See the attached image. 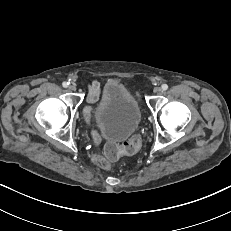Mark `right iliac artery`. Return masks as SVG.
Returning a JSON list of instances; mask_svg holds the SVG:
<instances>
[{
	"instance_id": "1",
	"label": "right iliac artery",
	"mask_w": 231,
	"mask_h": 231,
	"mask_svg": "<svg viewBox=\"0 0 231 231\" xmlns=\"http://www.w3.org/2000/svg\"><path fill=\"white\" fill-rule=\"evenodd\" d=\"M68 85H69V83H68V82H63V83H62V86H63L64 88H67V87H68Z\"/></svg>"
}]
</instances>
